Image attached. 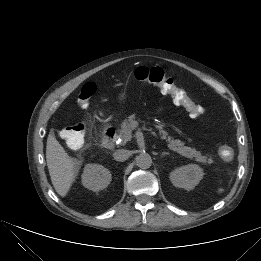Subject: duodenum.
<instances>
[{
  "label": "duodenum",
  "mask_w": 261,
  "mask_h": 261,
  "mask_svg": "<svg viewBox=\"0 0 261 261\" xmlns=\"http://www.w3.org/2000/svg\"><path fill=\"white\" fill-rule=\"evenodd\" d=\"M116 131L112 127H108L102 134V145L106 148H111L115 144Z\"/></svg>",
  "instance_id": "410a0bca"
}]
</instances>
